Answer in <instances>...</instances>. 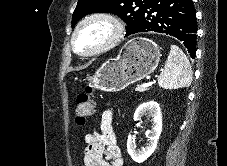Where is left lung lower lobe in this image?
<instances>
[{
	"label": "left lung lower lobe",
	"instance_id": "left-lung-lower-lobe-1",
	"mask_svg": "<svg viewBox=\"0 0 227 166\" xmlns=\"http://www.w3.org/2000/svg\"><path fill=\"white\" fill-rule=\"evenodd\" d=\"M154 31L183 41L192 58L196 51V13L192 0H147L135 31Z\"/></svg>",
	"mask_w": 227,
	"mask_h": 166
}]
</instances>
